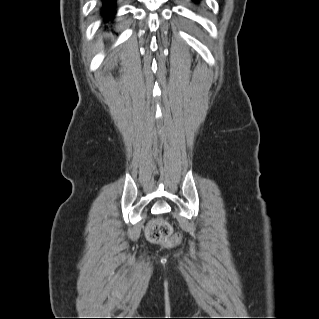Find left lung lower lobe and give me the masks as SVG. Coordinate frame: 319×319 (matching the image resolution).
I'll return each mask as SVG.
<instances>
[{"label": "left lung lower lobe", "instance_id": "1", "mask_svg": "<svg viewBox=\"0 0 319 319\" xmlns=\"http://www.w3.org/2000/svg\"><path fill=\"white\" fill-rule=\"evenodd\" d=\"M195 4H199L201 0H193Z\"/></svg>", "mask_w": 319, "mask_h": 319}]
</instances>
